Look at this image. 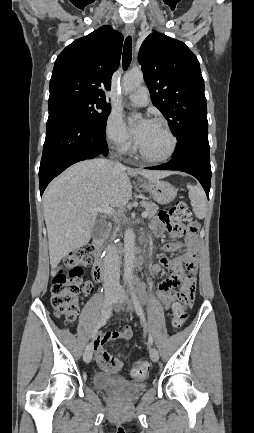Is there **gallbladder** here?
I'll return each mask as SVG.
<instances>
[{
	"instance_id": "gallbladder-1",
	"label": "gallbladder",
	"mask_w": 254,
	"mask_h": 433,
	"mask_svg": "<svg viewBox=\"0 0 254 433\" xmlns=\"http://www.w3.org/2000/svg\"><path fill=\"white\" fill-rule=\"evenodd\" d=\"M107 227L103 220H96L92 228L93 238H102L106 233Z\"/></svg>"
}]
</instances>
